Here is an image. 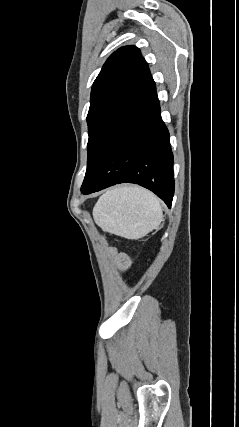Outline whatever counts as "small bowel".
Listing matches in <instances>:
<instances>
[{
    "label": "small bowel",
    "mask_w": 239,
    "mask_h": 427,
    "mask_svg": "<svg viewBox=\"0 0 239 427\" xmlns=\"http://www.w3.org/2000/svg\"><path fill=\"white\" fill-rule=\"evenodd\" d=\"M112 253L122 270H127L130 267L131 262L127 254L117 252L115 249H112Z\"/></svg>",
    "instance_id": "c3829d8e"
}]
</instances>
